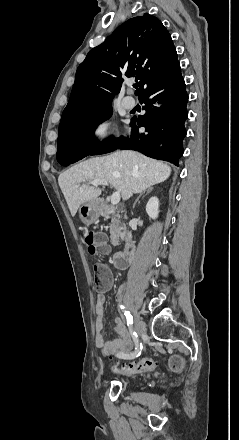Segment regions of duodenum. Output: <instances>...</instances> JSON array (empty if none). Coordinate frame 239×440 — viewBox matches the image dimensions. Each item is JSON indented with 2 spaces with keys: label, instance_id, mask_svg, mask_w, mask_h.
Here are the masks:
<instances>
[{
  "label": "duodenum",
  "instance_id": "duodenum-1",
  "mask_svg": "<svg viewBox=\"0 0 239 440\" xmlns=\"http://www.w3.org/2000/svg\"><path fill=\"white\" fill-rule=\"evenodd\" d=\"M104 212H112L114 209L111 206L103 205ZM125 248L123 251L117 252L112 256L111 262L118 269H125L132 261L135 244L129 232H125Z\"/></svg>",
  "mask_w": 239,
  "mask_h": 440
}]
</instances>
